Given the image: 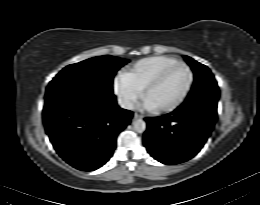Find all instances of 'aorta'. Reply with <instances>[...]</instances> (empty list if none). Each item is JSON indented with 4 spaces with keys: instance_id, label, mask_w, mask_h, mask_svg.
<instances>
[{
    "instance_id": "1",
    "label": "aorta",
    "mask_w": 260,
    "mask_h": 205,
    "mask_svg": "<svg viewBox=\"0 0 260 205\" xmlns=\"http://www.w3.org/2000/svg\"><path fill=\"white\" fill-rule=\"evenodd\" d=\"M134 130L138 133H143L146 129V123L142 119H137L133 122Z\"/></svg>"
}]
</instances>
